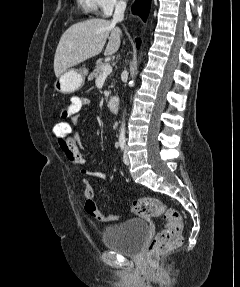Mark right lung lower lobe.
<instances>
[{
    "mask_svg": "<svg viewBox=\"0 0 240 287\" xmlns=\"http://www.w3.org/2000/svg\"><path fill=\"white\" fill-rule=\"evenodd\" d=\"M150 3L151 0H136L132 8L133 14H137L143 20H146L150 9ZM135 41L137 43V47H139L141 44V39H136Z\"/></svg>",
    "mask_w": 240,
    "mask_h": 287,
    "instance_id": "1",
    "label": "right lung lower lobe"
}]
</instances>
